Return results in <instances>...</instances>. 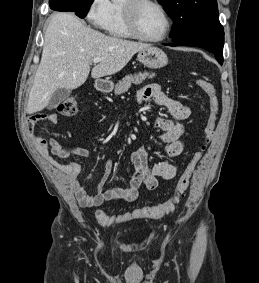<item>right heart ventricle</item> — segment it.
<instances>
[{
	"label": "right heart ventricle",
	"instance_id": "right-heart-ventricle-1",
	"mask_svg": "<svg viewBox=\"0 0 259 283\" xmlns=\"http://www.w3.org/2000/svg\"><path fill=\"white\" fill-rule=\"evenodd\" d=\"M103 29L114 37H134V35L128 28L123 8V2H121L120 0H112L109 15L103 25Z\"/></svg>",
	"mask_w": 259,
	"mask_h": 283
}]
</instances>
